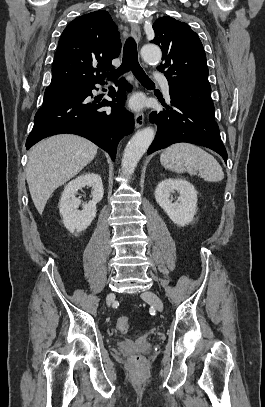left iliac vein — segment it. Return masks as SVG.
Instances as JSON below:
<instances>
[{
    "label": "left iliac vein",
    "mask_w": 265,
    "mask_h": 407,
    "mask_svg": "<svg viewBox=\"0 0 265 407\" xmlns=\"http://www.w3.org/2000/svg\"><path fill=\"white\" fill-rule=\"evenodd\" d=\"M141 297L143 300L150 303L156 310L160 312L163 311V302L156 293L146 290L142 293Z\"/></svg>",
    "instance_id": "1"
}]
</instances>
